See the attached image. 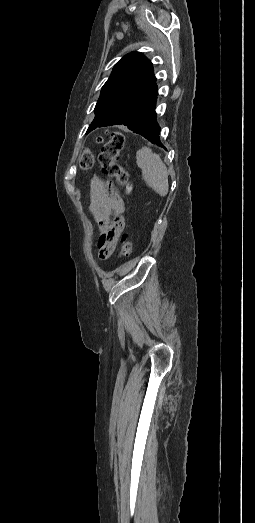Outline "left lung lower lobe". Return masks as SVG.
<instances>
[{
	"label": "left lung lower lobe",
	"instance_id": "1",
	"mask_svg": "<svg viewBox=\"0 0 255 523\" xmlns=\"http://www.w3.org/2000/svg\"><path fill=\"white\" fill-rule=\"evenodd\" d=\"M159 129H162V126H152V130H140V132H142L143 137L148 136L147 140H151L149 144L156 146V149L162 150L166 149V144H163V140H160L162 134H158Z\"/></svg>",
	"mask_w": 255,
	"mask_h": 523
}]
</instances>
